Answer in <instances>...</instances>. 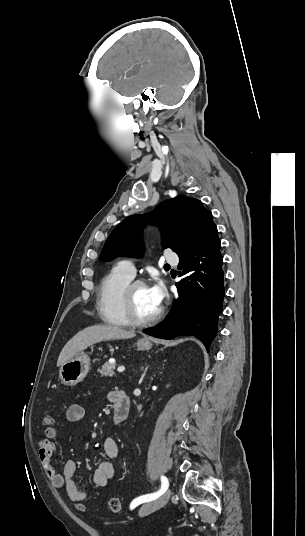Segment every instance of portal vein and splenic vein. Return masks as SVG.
Here are the masks:
<instances>
[{
	"instance_id": "obj_1",
	"label": "portal vein and splenic vein",
	"mask_w": 305,
	"mask_h": 536,
	"mask_svg": "<svg viewBox=\"0 0 305 536\" xmlns=\"http://www.w3.org/2000/svg\"><path fill=\"white\" fill-rule=\"evenodd\" d=\"M110 364H112V362H115V360H109ZM125 368L124 366H119V368H117V372H124Z\"/></svg>"
}]
</instances>
